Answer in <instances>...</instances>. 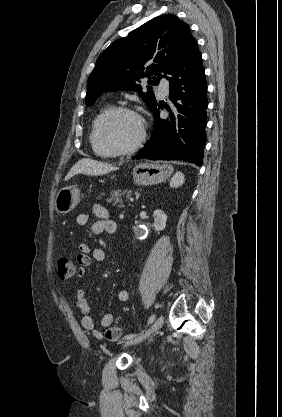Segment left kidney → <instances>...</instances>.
<instances>
[{
	"mask_svg": "<svg viewBox=\"0 0 282 417\" xmlns=\"http://www.w3.org/2000/svg\"><path fill=\"white\" fill-rule=\"evenodd\" d=\"M154 217V229L155 231H164L166 227L167 215H165L164 211H160V209H156L153 213Z\"/></svg>",
	"mask_w": 282,
	"mask_h": 417,
	"instance_id": "1",
	"label": "left kidney"
}]
</instances>
